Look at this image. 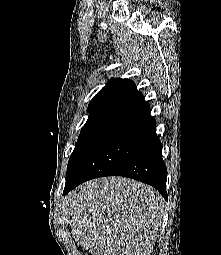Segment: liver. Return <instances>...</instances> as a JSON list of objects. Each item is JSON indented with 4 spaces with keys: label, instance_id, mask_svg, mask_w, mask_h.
<instances>
[{
    "label": "liver",
    "instance_id": "1",
    "mask_svg": "<svg viewBox=\"0 0 221 255\" xmlns=\"http://www.w3.org/2000/svg\"><path fill=\"white\" fill-rule=\"evenodd\" d=\"M75 240L93 255H150L165 202L150 186L123 177L80 185L66 197Z\"/></svg>",
    "mask_w": 221,
    "mask_h": 255
}]
</instances>
